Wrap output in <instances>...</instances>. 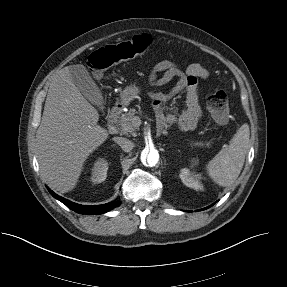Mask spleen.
Returning <instances> with one entry per match:
<instances>
[{"label": "spleen", "instance_id": "3e777b00", "mask_svg": "<svg viewBox=\"0 0 287 287\" xmlns=\"http://www.w3.org/2000/svg\"><path fill=\"white\" fill-rule=\"evenodd\" d=\"M249 137V125L245 123L238 129L230 144L206 165L207 174L215 183L228 187L238 178L247 154Z\"/></svg>", "mask_w": 287, "mask_h": 287}]
</instances>
